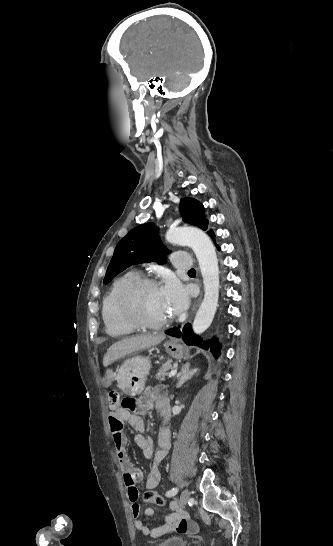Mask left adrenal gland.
I'll return each mask as SVG.
<instances>
[{
	"mask_svg": "<svg viewBox=\"0 0 333 546\" xmlns=\"http://www.w3.org/2000/svg\"><path fill=\"white\" fill-rule=\"evenodd\" d=\"M190 364L186 363L182 366L180 372H178L176 378L178 379L176 387H181L188 379H190L196 372L197 369L190 370Z\"/></svg>",
	"mask_w": 333,
	"mask_h": 546,
	"instance_id": "a2214340",
	"label": "left adrenal gland"
}]
</instances>
